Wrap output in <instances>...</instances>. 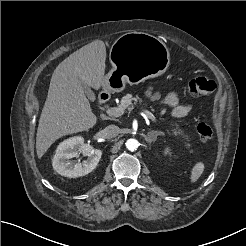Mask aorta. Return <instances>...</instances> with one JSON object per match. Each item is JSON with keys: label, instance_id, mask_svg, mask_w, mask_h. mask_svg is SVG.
<instances>
[{"label": "aorta", "instance_id": "762f6f07", "mask_svg": "<svg viewBox=\"0 0 246 246\" xmlns=\"http://www.w3.org/2000/svg\"><path fill=\"white\" fill-rule=\"evenodd\" d=\"M126 147L128 150L130 151H134L138 148V146L140 145L139 142L136 139H128L125 143Z\"/></svg>", "mask_w": 246, "mask_h": 246}]
</instances>
